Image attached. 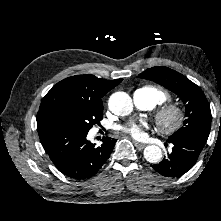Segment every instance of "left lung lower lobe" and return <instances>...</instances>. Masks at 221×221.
Instances as JSON below:
<instances>
[{
    "instance_id": "1",
    "label": "left lung lower lobe",
    "mask_w": 221,
    "mask_h": 221,
    "mask_svg": "<svg viewBox=\"0 0 221 221\" xmlns=\"http://www.w3.org/2000/svg\"><path fill=\"white\" fill-rule=\"evenodd\" d=\"M209 136V131H197L168 139L174 146L172 152L153 169L165 177H180L196 163Z\"/></svg>"
}]
</instances>
